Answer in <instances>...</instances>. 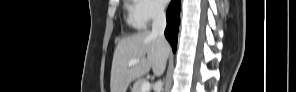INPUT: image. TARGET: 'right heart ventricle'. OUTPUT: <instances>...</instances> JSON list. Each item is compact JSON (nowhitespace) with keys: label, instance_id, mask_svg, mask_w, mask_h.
Returning a JSON list of instances; mask_svg holds the SVG:
<instances>
[{"label":"right heart ventricle","instance_id":"obj_1","mask_svg":"<svg viewBox=\"0 0 296 92\" xmlns=\"http://www.w3.org/2000/svg\"><path fill=\"white\" fill-rule=\"evenodd\" d=\"M129 17L127 19V22L129 25H131L134 28H141L142 26L136 21L133 15V8L129 7Z\"/></svg>","mask_w":296,"mask_h":92}]
</instances>
